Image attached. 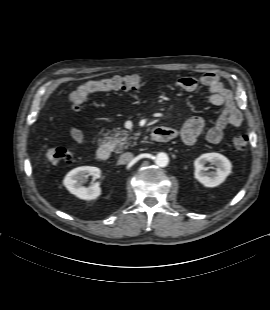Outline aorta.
<instances>
[{"instance_id": "1", "label": "aorta", "mask_w": 270, "mask_h": 310, "mask_svg": "<svg viewBox=\"0 0 270 310\" xmlns=\"http://www.w3.org/2000/svg\"><path fill=\"white\" fill-rule=\"evenodd\" d=\"M155 163L159 167H166L169 163L168 155L166 153H163V152L158 153L155 157Z\"/></svg>"}]
</instances>
